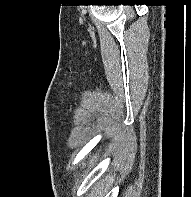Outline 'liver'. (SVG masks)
<instances>
[{"label":"liver","mask_w":191,"mask_h":197,"mask_svg":"<svg viewBox=\"0 0 191 197\" xmlns=\"http://www.w3.org/2000/svg\"><path fill=\"white\" fill-rule=\"evenodd\" d=\"M99 195H102L101 188L100 189L99 188L96 189V196H94V197H102V196H99Z\"/></svg>","instance_id":"liver-1"}]
</instances>
